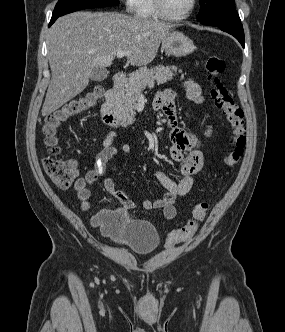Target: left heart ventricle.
<instances>
[{
    "mask_svg": "<svg viewBox=\"0 0 285 332\" xmlns=\"http://www.w3.org/2000/svg\"><path fill=\"white\" fill-rule=\"evenodd\" d=\"M167 11L173 16L184 14L191 5V0H165Z\"/></svg>",
    "mask_w": 285,
    "mask_h": 332,
    "instance_id": "obj_1",
    "label": "left heart ventricle"
}]
</instances>
